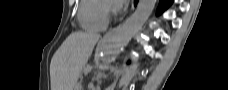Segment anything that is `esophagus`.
Wrapping results in <instances>:
<instances>
[{"instance_id":"1","label":"esophagus","mask_w":228,"mask_h":90,"mask_svg":"<svg viewBox=\"0 0 228 90\" xmlns=\"http://www.w3.org/2000/svg\"><path fill=\"white\" fill-rule=\"evenodd\" d=\"M120 28V25L115 27L114 29L108 31L102 38V42H105L108 38H110L118 29Z\"/></svg>"}]
</instances>
